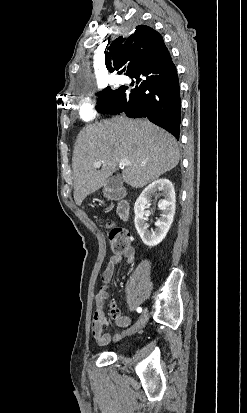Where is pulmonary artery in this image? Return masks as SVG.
Segmentation results:
<instances>
[{
  "label": "pulmonary artery",
  "instance_id": "e3ab8cb5",
  "mask_svg": "<svg viewBox=\"0 0 247 413\" xmlns=\"http://www.w3.org/2000/svg\"><path fill=\"white\" fill-rule=\"evenodd\" d=\"M109 83L113 87H120L126 83V77L124 75L113 74L109 79Z\"/></svg>",
  "mask_w": 247,
  "mask_h": 413
}]
</instances>
